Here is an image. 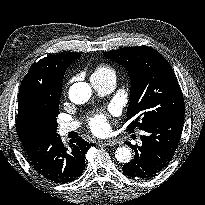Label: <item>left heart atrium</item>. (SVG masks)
<instances>
[{
	"label": "left heart atrium",
	"mask_w": 205,
	"mask_h": 205,
	"mask_svg": "<svg viewBox=\"0 0 205 205\" xmlns=\"http://www.w3.org/2000/svg\"><path fill=\"white\" fill-rule=\"evenodd\" d=\"M108 123L104 114L95 115L90 121V128L94 133L101 134L107 130Z\"/></svg>",
	"instance_id": "1"
}]
</instances>
